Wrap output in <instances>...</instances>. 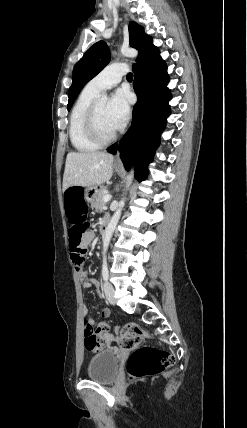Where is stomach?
I'll return each mask as SVG.
<instances>
[{
  "instance_id": "stomach-1",
  "label": "stomach",
  "mask_w": 247,
  "mask_h": 428,
  "mask_svg": "<svg viewBox=\"0 0 247 428\" xmlns=\"http://www.w3.org/2000/svg\"><path fill=\"white\" fill-rule=\"evenodd\" d=\"M116 171L121 174L122 169L120 167H116ZM98 188L97 186H91L87 187L84 192V199L93 204L95 202L96 196H97Z\"/></svg>"
}]
</instances>
